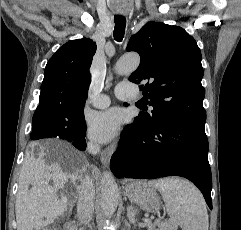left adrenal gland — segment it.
<instances>
[{"instance_id": "a2214340", "label": "left adrenal gland", "mask_w": 241, "mask_h": 230, "mask_svg": "<svg viewBox=\"0 0 241 230\" xmlns=\"http://www.w3.org/2000/svg\"><path fill=\"white\" fill-rule=\"evenodd\" d=\"M138 210L135 209L132 205H129L127 207V216L131 223H133L135 226L137 225V216Z\"/></svg>"}]
</instances>
